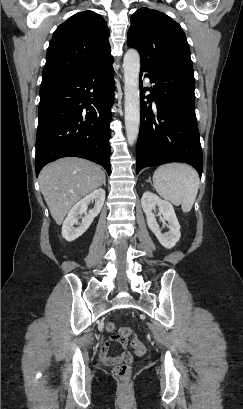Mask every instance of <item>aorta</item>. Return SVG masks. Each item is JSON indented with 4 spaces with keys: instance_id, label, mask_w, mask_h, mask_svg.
<instances>
[{
    "instance_id": "762f6f07",
    "label": "aorta",
    "mask_w": 243,
    "mask_h": 409,
    "mask_svg": "<svg viewBox=\"0 0 243 409\" xmlns=\"http://www.w3.org/2000/svg\"><path fill=\"white\" fill-rule=\"evenodd\" d=\"M123 69L125 93V129L129 144H133L137 140L140 126V56L136 50L129 49L125 53Z\"/></svg>"
}]
</instances>
